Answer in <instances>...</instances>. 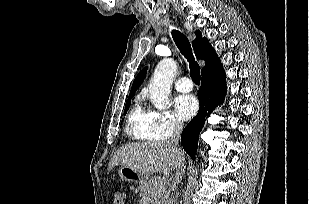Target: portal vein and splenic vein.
Masks as SVG:
<instances>
[{
  "label": "portal vein and splenic vein",
  "mask_w": 309,
  "mask_h": 204,
  "mask_svg": "<svg viewBox=\"0 0 309 204\" xmlns=\"http://www.w3.org/2000/svg\"><path fill=\"white\" fill-rule=\"evenodd\" d=\"M164 181L166 182V181H167V179H165V178H164Z\"/></svg>",
  "instance_id": "portal-vein-and-splenic-vein-1"
}]
</instances>
